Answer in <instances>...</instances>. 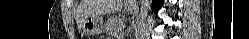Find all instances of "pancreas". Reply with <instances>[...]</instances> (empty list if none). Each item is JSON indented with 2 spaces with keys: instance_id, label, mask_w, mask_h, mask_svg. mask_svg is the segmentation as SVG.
Wrapping results in <instances>:
<instances>
[{
  "instance_id": "cf45deb5",
  "label": "pancreas",
  "mask_w": 249,
  "mask_h": 39,
  "mask_svg": "<svg viewBox=\"0 0 249 39\" xmlns=\"http://www.w3.org/2000/svg\"><path fill=\"white\" fill-rule=\"evenodd\" d=\"M124 26V20L118 17H111L105 23V33L111 36H117Z\"/></svg>"
}]
</instances>
